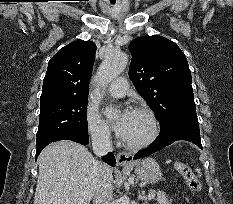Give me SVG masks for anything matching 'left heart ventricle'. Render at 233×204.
Returning a JSON list of instances; mask_svg holds the SVG:
<instances>
[{
  "label": "left heart ventricle",
  "mask_w": 233,
  "mask_h": 204,
  "mask_svg": "<svg viewBox=\"0 0 233 204\" xmlns=\"http://www.w3.org/2000/svg\"><path fill=\"white\" fill-rule=\"evenodd\" d=\"M151 126L146 115L139 112H131L125 140L128 142H140L150 133Z\"/></svg>",
  "instance_id": "b2bd125f"
}]
</instances>
